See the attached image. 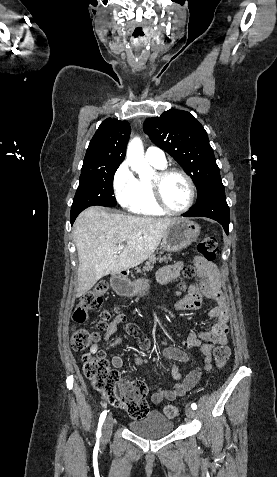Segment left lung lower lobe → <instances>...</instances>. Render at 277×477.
<instances>
[{
    "instance_id": "obj_1",
    "label": "left lung lower lobe",
    "mask_w": 277,
    "mask_h": 477,
    "mask_svg": "<svg viewBox=\"0 0 277 477\" xmlns=\"http://www.w3.org/2000/svg\"><path fill=\"white\" fill-rule=\"evenodd\" d=\"M184 217H208L218 221L229 233V207L226 202L225 190L222 181H218L208 190L204 197L196 203V206Z\"/></svg>"
}]
</instances>
